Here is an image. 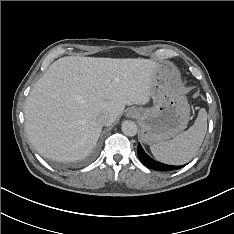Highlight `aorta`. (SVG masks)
Wrapping results in <instances>:
<instances>
[{"mask_svg": "<svg viewBox=\"0 0 234 234\" xmlns=\"http://www.w3.org/2000/svg\"><path fill=\"white\" fill-rule=\"evenodd\" d=\"M122 132L127 136H135L138 132V128L135 122L126 120L121 125Z\"/></svg>", "mask_w": 234, "mask_h": 234, "instance_id": "762f6f07", "label": "aorta"}]
</instances>
